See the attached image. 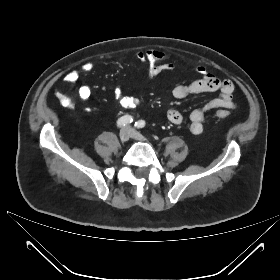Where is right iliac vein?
Wrapping results in <instances>:
<instances>
[{
  "mask_svg": "<svg viewBox=\"0 0 280 280\" xmlns=\"http://www.w3.org/2000/svg\"><path fill=\"white\" fill-rule=\"evenodd\" d=\"M131 137V129L130 128H124L121 130L119 134V138L122 142H127Z\"/></svg>",
  "mask_w": 280,
  "mask_h": 280,
  "instance_id": "right-iliac-vein-1",
  "label": "right iliac vein"
}]
</instances>
